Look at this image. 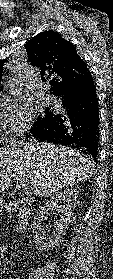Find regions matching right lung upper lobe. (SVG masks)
Listing matches in <instances>:
<instances>
[{
	"instance_id": "cb5924a9",
	"label": "right lung upper lobe",
	"mask_w": 113,
	"mask_h": 279,
	"mask_svg": "<svg viewBox=\"0 0 113 279\" xmlns=\"http://www.w3.org/2000/svg\"><path fill=\"white\" fill-rule=\"evenodd\" d=\"M25 48L28 60L41 70V79H52L51 89L56 96L77 88L90 73L75 46L58 32H41L31 38ZM4 61H0V81Z\"/></svg>"
}]
</instances>
